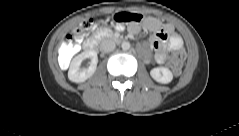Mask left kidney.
Here are the masks:
<instances>
[{
	"mask_svg": "<svg viewBox=\"0 0 239 136\" xmlns=\"http://www.w3.org/2000/svg\"><path fill=\"white\" fill-rule=\"evenodd\" d=\"M150 75L156 82L162 84L170 83L173 79L172 72L166 67L153 68L150 71Z\"/></svg>",
	"mask_w": 239,
	"mask_h": 136,
	"instance_id": "5707ae66",
	"label": "left kidney"
}]
</instances>
